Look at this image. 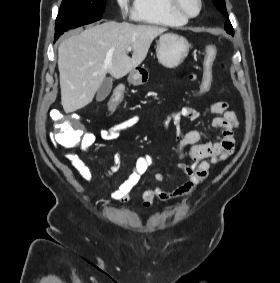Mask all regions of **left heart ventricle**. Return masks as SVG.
Instances as JSON below:
<instances>
[{"label":"left heart ventricle","instance_id":"obj_1","mask_svg":"<svg viewBox=\"0 0 280 283\" xmlns=\"http://www.w3.org/2000/svg\"><path fill=\"white\" fill-rule=\"evenodd\" d=\"M183 7L191 13H195L198 9L197 0H181Z\"/></svg>","mask_w":280,"mask_h":283}]
</instances>
